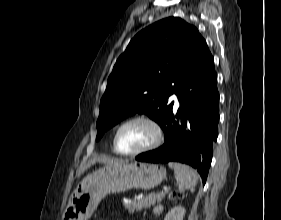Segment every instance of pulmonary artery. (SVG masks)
Segmentation results:
<instances>
[{
    "label": "pulmonary artery",
    "instance_id": "obj_1",
    "mask_svg": "<svg viewBox=\"0 0 281 220\" xmlns=\"http://www.w3.org/2000/svg\"><path fill=\"white\" fill-rule=\"evenodd\" d=\"M171 100L174 101V107H175V108H178V107H179V101H178V98H177V96H176L175 94H173V95L171 96Z\"/></svg>",
    "mask_w": 281,
    "mask_h": 220
}]
</instances>
